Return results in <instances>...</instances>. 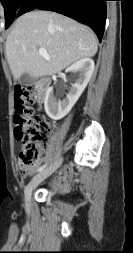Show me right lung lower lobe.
Segmentation results:
<instances>
[{
    "instance_id": "obj_1",
    "label": "right lung lower lobe",
    "mask_w": 133,
    "mask_h": 253,
    "mask_svg": "<svg viewBox=\"0 0 133 253\" xmlns=\"http://www.w3.org/2000/svg\"><path fill=\"white\" fill-rule=\"evenodd\" d=\"M107 0H24L17 16L35 8L71 17L91 27L101 41L106 23Z\"/></svg>"
}]
</instances>
